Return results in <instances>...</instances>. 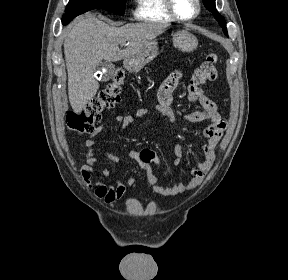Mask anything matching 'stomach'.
<instances>
[{
	"label": "stomach",
	"mask_w": 288,
	"mask_h": 280,
	"mask_svg": "<svg viewBox=\"0 0 288 280\" xmlns=\"http://www.w3.org/2000/svg\"><path fill=\"white\" fill-rule=\"evenodd\" d=\"M173 44L183 52H192L197 48L196 37L187 30H180L173 34ZM159 53L158 43L149 41L137 54L124 59V65L132 70H140L151 62Z\"/></svg>",
	"instance_id": "obj_1"
}]
</instances>
